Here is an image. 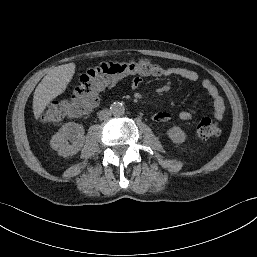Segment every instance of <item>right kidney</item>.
<instances>
[{
    "label": "right kidney",
    "instance_id": "obj_1",
    "mask_svg": "<svg viewBox=\"0 0 257 257\" xmlns=\"http://www.w3.org/2000/svg\"><path fill=\"white\" fill-rule=\"evenodd\" d=\"M70 141L72 144H69ZM84 143V128L82 125L69 122L52 136L50 145L59 155L68 157L79 152Z\"/></svg>",
    "mask_w": 257,
    "mask_h": 257
}]
</instances>
